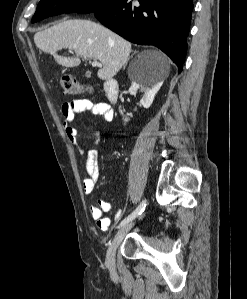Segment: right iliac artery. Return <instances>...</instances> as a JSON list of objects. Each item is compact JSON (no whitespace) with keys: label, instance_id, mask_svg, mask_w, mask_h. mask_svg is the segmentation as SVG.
<instances>
[{"label":"right iliac artery","instance_id":"1","mask_svg":"<svg viewBox=\"0 0 247 299\" xmlns=\"http://www.w3.org/2000/svg\"><path fill=\"white\" fill-rule=\"evenodd\" d=\"M146 207V200H143L141 204L128 216L126 217L118 226V228L124 226L126 223L132 221L134 218H136L138 215L142 214Z\"/></svg>","mask_w":247,"mask_h":299}]
</instances>
